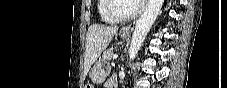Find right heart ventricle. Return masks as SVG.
<instances>
[{
  "label": "right heart ventricle",
  "instance_id": "obj_1",
  "mask_svg": "<svg viewBox=\"0 0 227 88\" xmlns=\"http://www.w3.org/2000/svg\"><path fill=\"white\" fill-rule=\"evenodd\" d=\"M107 0H98V12L100 19L106 23H114L115 21L106 12Z\"/></svg>",
  "mask_w": 227,
  "mask_h": 88
}]
</instances>
